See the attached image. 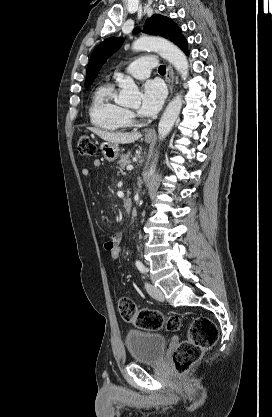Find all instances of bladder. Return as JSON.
I'll use <instances>...</instances> for the list:
<instances>
[{
    "label": "bladder",
    "mask_w": 272,
    "mask_h": 417,
    "mask_svg": "<svg viewBox=\"0 0 272 417\" xmlns=\"http://www.w3.org/2000/svg\"><path fill=\"white\" fill-rule=\"evenodd\" d=\"M125 345L136 363L156 364L161 361L167 346V338L159 333L130 330Z\"/></svg>",
    "instance_id": "31cf9c89"
}]
</instances>
